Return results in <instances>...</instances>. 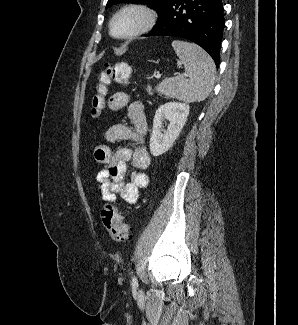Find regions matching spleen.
I'll return each mask as SVG.
<instances>
[{
    "instance_id": "3e777b00",
    "label": "spleen",
    "mask_w": 298,
    "mask_h": 325,
    "mask_svg": "<svg viewBox=\"0 0 298 325\" xmlns=\"http://www.w3.org/2000/svg\"><path fill=\"white\" fill-rule=\"evenodd\" d=\"M178 68H185L188 76H173L159 82L157 90L165 98H177L184 102H200L209 96L215 82L213 58L194 42L172 40Z\"/></svg>"
}]
</instances>
